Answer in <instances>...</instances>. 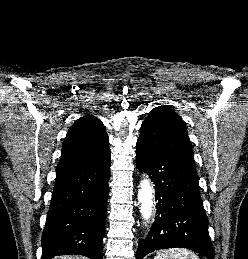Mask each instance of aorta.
I'll return each mask as SVG.
<instances>
[{
    "label": "aorta",
    "mask_w": 248,
    "mask_h": 259,
    "mask_svg": "<svg viewBox=\"0 0 248 259\" xmlns=\"http://www.w3.org/2000/svg\"><path fill=\"white\" fill-rule=\"evenodd\" d=\"M138 199L141 203V217L148 223L151 218L154 206V188L147 176L144 175L143 180L140 183V189L138 192Z\"/></svg>",
    "instance_id": "aorta-1"
}]
</instances>
